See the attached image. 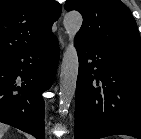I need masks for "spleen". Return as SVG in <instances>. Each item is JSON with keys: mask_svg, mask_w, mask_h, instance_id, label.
Returning <instances> with one entry per match:
<instances>
[{"mask_svg": "<svg viewBox=\"0 0 141 139\" xmlns=\"http://www.w3.org/2000/svg\"><path fill=\"white\" fill-rule=\"evenodd\" d=\"M122 139H131V138H129V137H123Z\"/></svg>", "mask_w": 141, "mask_h": 139, "instance_id": "3e777b00", "label": "spleen"}]
</instances>
